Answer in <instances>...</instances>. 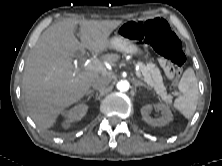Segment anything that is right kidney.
Masks as SVG:
<instances>
[{
	"label": "right kidney",
	"instance_id": "1",
	"mask_svg": "<svg viewBox=\"0 0 222 166\" xmlns=\"http://www.w3.org/2000/svg\"><path fill=\"white\" fill-rule=\"evenodd\" d=\"M87 110L86 104H78L71 109L62 111V116L65 118L63 127L69 128L72 122L81 120L86 115Z\"/></svg>",
	"mask_w": 222,
	"mask_h": 166
}]
</instances>
